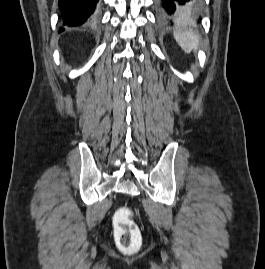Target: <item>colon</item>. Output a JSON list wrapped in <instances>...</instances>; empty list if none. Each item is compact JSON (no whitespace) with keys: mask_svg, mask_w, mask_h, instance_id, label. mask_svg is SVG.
<instances>
[{"mask_svg":"<svg viewBox=\"0 0 265 269\" xmlns=\"http://www.w3.org/2000/svg\"><path fill=\"white\" fill-rule=\"evenodd\" d=\"M115 220L118 243L124 248L135 245L140 233L132 219L131 211L125 208L119 209L115 214Z\"/></svg>","mask_w":265,"mask_h":269,"instance_id":"obj_1","label":"colon"}]
</instances>
